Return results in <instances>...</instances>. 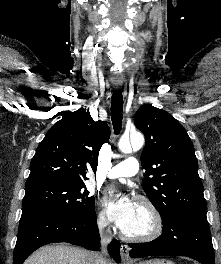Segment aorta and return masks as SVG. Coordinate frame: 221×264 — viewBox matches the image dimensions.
<instances>
[{"instance_id":"obj_1","label":"aorta","mask_w":221,"mask_h":264,"mask_svg":"<svg viewBox=\"0 0 221 264\" xmlns=\"http://www.w3.org/2000/svg\"><path fill=\"white\" fill-rule=\"evenodd\" d=\"M144 144V137L140 133H134L128 138H121L119 141V149L122 153H130L133 150H139Z\"/></svg>"}]
</instances>
